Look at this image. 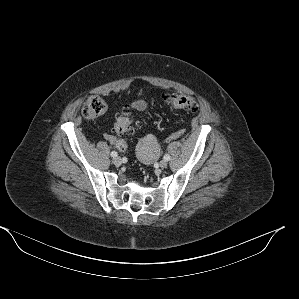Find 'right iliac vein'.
<instances>
[{"label":"right iliac vein","mask_w":299,"mask_h":299,"mask_svg":"<svg viewBox=\"0 0 299 299\" xmlns=\"http://www.w3.org/2000/svg\"><path fill=\"white\" fill-rule=\"evenodd\" d=\"M112 162H113L114 165L119 166L122 161H121L120 157L116 156V157L113 158Z\"/></svg>","instance_id":"obj_1"}]
</instances>
